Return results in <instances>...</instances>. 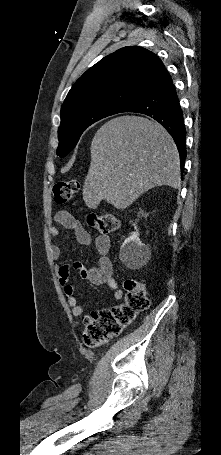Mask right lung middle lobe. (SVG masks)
I'll return each mask as SVG.
<instances>
[{
	"mask_svg": "<svg viewBox=\"0 0 221 455\" xmlns=\"http://www.w3.org/2000/svg\"><path fill=\"white\" fill-rule=\"evenodd\" d=\"M125 108L116 102H98L62 115L58 129L57 155L61 158L66 156L75 147L86 128L102 118L123 112Z\"/></svg>",
	"mask_w": 221,
	"mask_h": 455,
	"instance_id": "dd1d6c3e",
	"label": "right lung middle lobe"
}]
</instances>
